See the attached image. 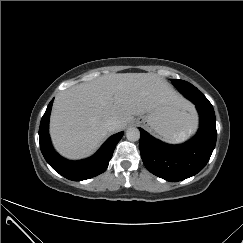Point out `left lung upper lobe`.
I'll use <instances>...</instances> for the list:
<instances>
[{
	"label": "left lung upper lobe",
	"mask_w": 243,
	"mask_h": 243,
	"mask_svg": "<svg viewBox=\"0 0 243 243\" xmlns=\"http://www.w3.org/2000/svg\"><path fill=\"white\" fill-rule=\"evenodd\" d=\"M171 81L177 89H179L180 87H183L189 83V82H186L183 80H177V79H172Z\"/></svg>",
	"instance_id": "left-lung-upper-lobe-1"
}]
</instances>
